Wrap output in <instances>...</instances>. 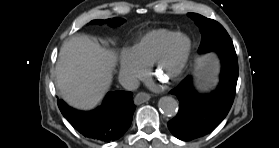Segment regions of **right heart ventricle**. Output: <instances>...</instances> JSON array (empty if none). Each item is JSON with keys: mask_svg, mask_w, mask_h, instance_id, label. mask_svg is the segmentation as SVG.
Here are the masks:
<instances>
[{"mask_svg": "<svg viewBox=\"0 0 279 148\" xmlns=\"http://www.w3.org/2000/svg\"><path fill=\"white\" fill-rule=\"evenodd\" d=\"M174 34L165 29L150 31L137 41L132 51L146 67L152 66Z\"/></svg>", "mask_w": 279, "mask_h": 148, "instance_id": "right-heart-ventricle-1", "label": "right heart ventricle"}]
</instances>
